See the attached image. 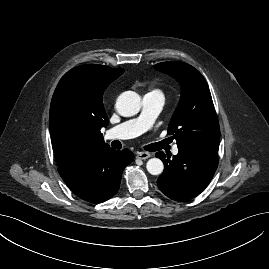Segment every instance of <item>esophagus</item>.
Listing matches in <instances>:
<instances>
[{
  "label": "esophagus",
  "instance_id": "1",
  "mask_svg": "<svg viewBox=\"0 0 269 269\" xmlns=\"http://www.w3.org/2000/svg\"><path fill=\"white\" fill-rule=\"evenodd\" d=\"M151 157V154L148 152H138L136 154V158L141 159V160H145Z\"/></svg>",
  "mask_w": 269,
  "mask_h": 269
}]
</instances>
